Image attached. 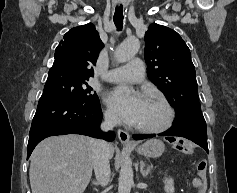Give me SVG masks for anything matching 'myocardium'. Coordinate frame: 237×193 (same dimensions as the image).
<instances>
[{
	"label": "myocardium",
	"instance_id": "myocardium-1",
	"mask_svg": "<svg viewBox=\"0 0 237 193\" xmlns=\"http://www.w3.org/2000/svg\"><path fill=\"white\" fill-rule=\"evenodd\" d=\"M149 100L159 103L164 108V110L166 112L165 120L159 126L146 127V126L135 125L134 126L135 129L142 132V133H148V134H158V133H162V132L168 130L172 126L174 119H175L174 108L168 102V100L161 95H152L149 97Z\"/></svg>",
	"mask_w": 237,
	"mask_h": 193
}]
</instances>
